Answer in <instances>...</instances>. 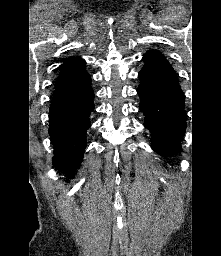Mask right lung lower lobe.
<instances>
[{
    "label": "right lung lower lobe",
    "instance_id": "right-lung-lower-lobe-1",
    "mask_svg": "<svg viewBox=\"0 0 221 256\" xmlns=\"http://www.w3.org/2000/svg\"><path fill=\"white\" fill-rule=\"evenodd\" d=\"M94 96L91 89L73 98L51 103L49 135L54 148L53 164L69 177L83 159Z\"/></svg>",
    "mask_w": 221,
    "mask_h": 256
}]
</instances>
